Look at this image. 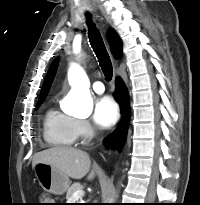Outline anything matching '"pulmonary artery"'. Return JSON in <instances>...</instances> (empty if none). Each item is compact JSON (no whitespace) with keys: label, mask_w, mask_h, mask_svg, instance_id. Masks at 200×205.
Masks as SVG:
<instances>
[{"label":"pulmonary artery","mask_w":200,"mask_h":205,"mask_svg":"<svg viewBox=\"0 0 200 205\" xmlns=\"http://www.w3.org/2000/svg\"><path fill=\"white\" fill-rule=\"evenodd\" d=\"M92 88L97 94H102L105 91V87L101 81H95Z\"/></svg>","instance_id":"e3ab8cb5"}]
</instances>
